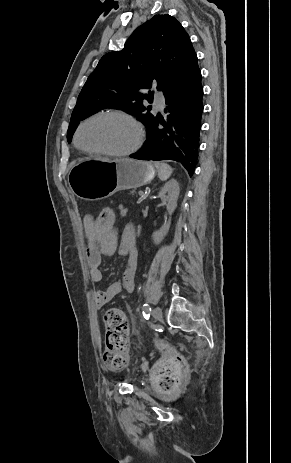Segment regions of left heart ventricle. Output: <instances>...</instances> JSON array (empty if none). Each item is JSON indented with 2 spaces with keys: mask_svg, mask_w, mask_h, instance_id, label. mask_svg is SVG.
I'll use <instances>...</instances> for the list:
<instances>
[{
  "mask_svg": "<svg viewBox=\"0 0 291 463\" xmlns=\"http://www.w3.org/2000/svg\"><path fill=\"white\" fill-rule=\"evenodd\" d=\"M131 123L120 117H103L90 121L81 130L79 141L91 149L123 150L135 140Z\"/></svg>",
  "mask_w": 291,
  "mask_h": 463,
  "instance_id": "1",
  "label": "left heart ventricle"
}]
</instances>
